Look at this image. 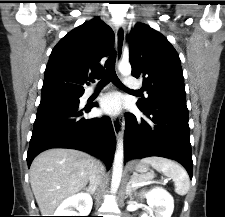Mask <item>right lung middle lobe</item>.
Segmentation results:
<instances>
[{
  "instance_id": "right-lung-middle-lobe-1",
  "label": "right lung middle lobe",
  "mask_w": 225,
  "mask_h": 217,
  "mask_svg": "<svg viewBox=\"0 0 225 217\" xmlns=\"http://www.w3.org/2000/svg\"><path fill=\"white\" fill-rule=\"evenodd\" d=\"M83 93H53L41 96V103L45 102H68L79 103Z\"/></svg>"
}]
</instances>
